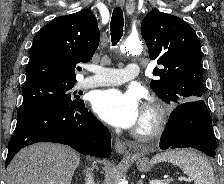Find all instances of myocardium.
<instances>
[{
	"label": "myocardium",
	"mask_w": 224,
	"mask_h": 184,
	"mask_svg": "<svg viewBox=\"0 0 224 184\" xmlns=\"http://www.w3.org/2000/svg\"><path fill=\"white\" fill-rule=\"evenodd\" d=\"M142 113L146 117V122L133 130V136L141 141L159 138L168 123L169 111L167 108L158 102H147Z\"/></svg>",
	"instance_id": "1"
}]
</instances>
